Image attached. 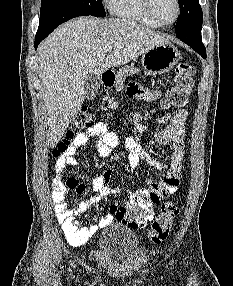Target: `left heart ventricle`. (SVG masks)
Returning <instances> with one entry per match:
<instances>
[{"instance_id": "b2bd125f", "label": "left heart ventricle", "mask_w": 233, "mask_h": 286, "mask_svg": "<svg viewBox=\"0 0 233 286\" xmlns=\"http://www.w3.org/2000/svg\"><path fill=\"white\" fill-rule=\"evenodd\" d=\"M151 11L156 21L170 22L176 14L174 0H151Z\"/></svg>"}]
</instances>
